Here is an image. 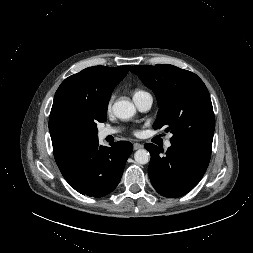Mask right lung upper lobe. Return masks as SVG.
<instances>
[{
    "instance_id": "right-lung-upper-lobe-1",
    "label": "right lung upper lobe",
    "mask_w": 253,
    "mask_h": 253,
    "mask_svg": "<svg viewBox=\"0 0 253 253\" xmlns=\"http://www.w3.org/2000/svg\"><path fill=\"white\" fill-rule=\"evenodd\" d=\"M129 68V65L89 67L61 83L49 117V131L58 167L85 145L98 139L97 122L107 119L112 90L126 76Z\"/></svg>"
}]
</instances>
